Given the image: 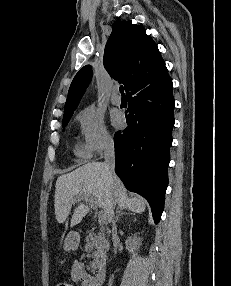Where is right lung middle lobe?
<instances>
[{"instance_id": "right-lung-middle-lobe-1", "label": "right lung middle lobe", "mask_w": 231, "mask_h": 286, "mask_svg": "<svg viewBox=\"0 0 231 286\" xmlns=\"http://www.w3.org/2000/svg\"><path fill=\"white\" fill-rule=\"evenodd\" d=\"M73 113L67 114L63 116V127H66Z\"/></svg>"}]
</instances>
